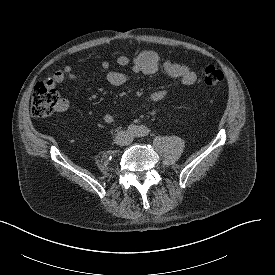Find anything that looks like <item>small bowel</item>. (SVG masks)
I'll return each instance as SVG.
<instances>
[{
	"label": "small bowel",
	"mask_w": 275,
	"mask_h": 275,
	"mask_svg": "<svg viewBox=\"0 0 275 275\" xmlns=\"http://www.w3.org/2000/svg\"><path fill=\"white\" fill-rule=\"evenodd\" d=\"M116 63L120 67L129 66L131 71L137 74L153 75L158 72H162L169 78L180 80V82L186 86L193 85L197 76L188 66L183 64H177L171 61L162 60L157 53L153 51H144L134 57L132 60L127 56H119ZM101 69L105 74V77L113 86H122L128 81V76L122 72L114 71L111 69L110 63L107 60L102 61ZM65 80H72L77 82H83L72 66H65L64 68L56 71L50 78L47 79L49 86L53 87ZM167 96L165 89H158L150 93L146 99L147 102H160ZM69 103L66 99H61L57 108L58 112H64L68 109ZM104 121L107 124H112L115 121V116L112 113L104 114Z\"/></svg>",
	"instance_id": "obj_1"
}]
</instances>
